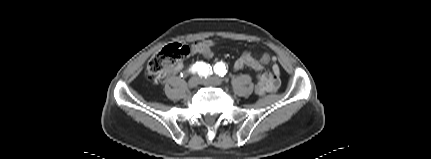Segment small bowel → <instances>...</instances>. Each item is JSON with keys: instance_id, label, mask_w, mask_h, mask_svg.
I'll return each mask as SVG.
<instances>
[{"instance_id": "small-bowel-1", "label": "small bowel", "mask_w": 431, "mask_h": 159, "mask_svg": "<svg viewBox=\"0 0 431 159\" xmlns=\"http://www.w3.org/2000/svg\"><path fill=\"white\" fill-rule=\"evenodd\" d=\"M206 46L214 48L215 42L213 40H205L193 44L190 49H193L191 54H194V49L196 47ZM203 56V54H201ZM210 58L213 55H208ZM274 59L268 54L262 55L260 59H255L249 51H244L240 57L234 62L233 69L239 71L245 67H250L255 71L259 72L257 75V83H259L260 88L258 90L259 95L276 91L280 86V67L277 64H273L270 70L264 71V66ZM183 64L181 62L176 63L169 70L171 73H177L182 70Z\"/></svg>"}]
</instances>
